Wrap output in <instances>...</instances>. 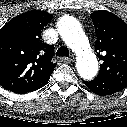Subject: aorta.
Instances as JSON below:
<instances>
[{"instance_id": "aorta-1", "label": "aorta", "mask_w": 127, "mask_h": 127, "mask_svg": "<svg viewBox=\"0 0 127 127\" xmlns=\"http://www.w3.org/2000/svg\"><path fill=\"white\" fill-rule=\"evenodd\" d=\"M58 31L77 56L79 75L87 80L94 78L98 72V61L79 22L71 16H63L58 22Z\"/></svg>"}]
</instances>
